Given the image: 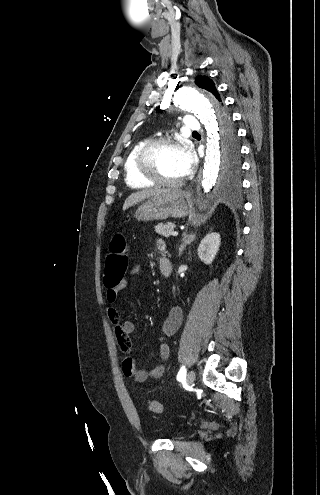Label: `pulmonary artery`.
I'll list each match as a JSON object with an SVG mask.
<instances>
[{
  "label": "pulmonary artery",
  "instance_id": "obj_1",
  "mask_svg": "<svg viewBox=\"0 0 320 495\" xmlns=\"http://www.w3.org/2000/svg\"><path fill=\"white\" fill-rule=\"evenodd\" d=\"M183 127L187 131H198L201 126L199 121L193 116H186L183 120Z\"/></svg>",
  "mask_w": 320,
  "mask_h": 495
}]
</instances>
